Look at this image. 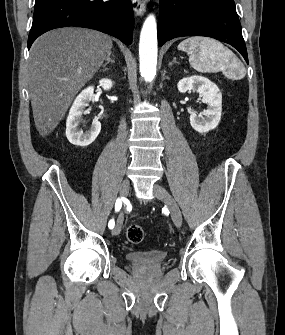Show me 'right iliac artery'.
Returning <instances> with one entry per match:
<instances>
[{"label": "right iliac artery", "mask_w": 285, "mask_h": 335, "mask_svg": "<svg viewBox=\"0 0 285 335\" xmlns=\"http://www.w3.org/2000/svg\"><path fill=\"white\" fill-rule=\"evenodd\" d=\"M121 207H122V199L118 198V199L116 200V203H115V211H119V210L121 209ZM114 225H115V222H114L113 219H111V220L109 221V223H108V227H109L110 229H113V228H114Z\"/></svg>", "instance_id": "right-iliac-artery-1"}]
</instances>
